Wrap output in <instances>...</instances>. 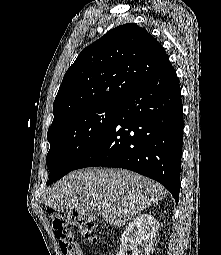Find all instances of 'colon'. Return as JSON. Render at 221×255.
<instances>
[{
  "instance_id": "colon-1",
  "label": "colon",
  "mask_w": 221,
  "mask_h": 255,
  "mask_svg": "<svg viewBox=\"0 0 221 255\" xmlns=\"http://www.w3.org/2000/svg\"><path fill=\"white\" fill-rule=\"evenodd\" d=\"M51 224L61 252L64 255H82L71 232V226H76L84 237L90 241L98 238L100 227L96 217L71 211H50Z\"/></svg>"
}]
</instances>
